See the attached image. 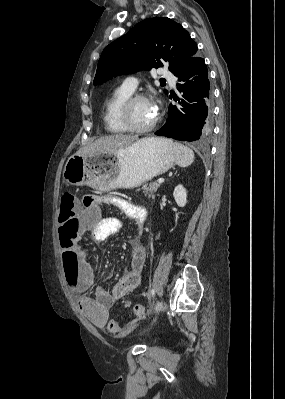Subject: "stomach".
I'll use <instances>...</instances> for the list:
<instances>
[{
  "label": "stomach",
  "instance_id": "1",
  "mask_svg": "<svg viewBox=\"0 0 285 399\" xmlns=\"http://www.w3.org/2000/svg\"><path fill=\"white\" fill-rule=\"evenodd\" d=\"M174 161L168 140L145 138L116 153L74 154L66 161L63 179L70 185L100 191L133 188L165 173Z\"/></svg>",
  "mask_w": 285,
  "mask_h": 399
}]
</instances>
